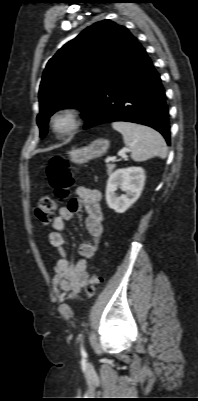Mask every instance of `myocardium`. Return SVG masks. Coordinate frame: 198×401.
Listing matches in <instances>:
<instances>
[{
	"label": "myocardium",
	"instance_id": "myocardium-1",
	"mask_svg": "<svg viewBox=\"0 0 198 401\" xmlns=\"http://www.w3.org/2000/svg\"><path fill=\"white\" fill-rule=\"evenodd\" d=\"M82 120V111L75 106L67 105L52 113L49 128L55 137L63 138L74 133L82 125Z\"/></svg>",
	"mask_w": 198,
	"mask_h": 401
}]
</instances>
